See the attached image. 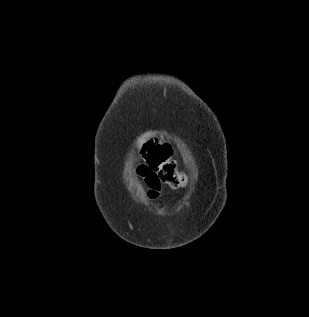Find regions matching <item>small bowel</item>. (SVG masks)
<instances>
[{
    "label": "small bowel",
    "mask_w": 309,
    "mask_h": 317,
    "mask_svg": "<svg viewBox=\"0 0 309 317\" xmlns=\"http://www.w3.org/2000/svg\"><path fill=\"white\" fill-rule=\"evenodd\" d=\"M138 174L144 178L146 184L148 185V187L151 188L149 195L151 197H155L157 195V190H159V183H151L149 181V177L151 176V171L148 168L147 165H141L138 169Z\"/></svg>",
    "instance_id": "1"
}]
</instances>
